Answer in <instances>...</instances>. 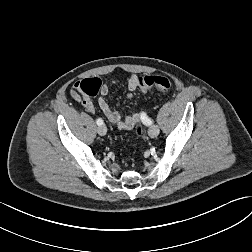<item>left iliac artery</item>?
<instances>
[{
    "mask_svg": "<svg viewBox=\"0 0 252 252\" xmlns=\"http://www.w3.org/2000/svg\"><path fill=\"white\" fill-rule=\"evenodd\" d=\"M139 118H140L141 124L143 125L149 126L153 124V121L150 118H148V115L145 112L140 113Z\"/></svg>",
    "mask_w": 252,
    "mask_h": 252,
    "instance_id": "1",
    "label": "left iliac artery"
}]
</instances>
